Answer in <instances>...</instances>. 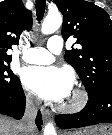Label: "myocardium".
Instances as JSON below:
<instances>
[{
    "label": "myocardium",
    "mask_w": 112,
    "mask_h": 135,
    "mask_svg": "<svg viewBox=\"0 0 112 135\" xmlns=\"http://www.w3.org/2000/svg\"><path fill=\"white\" fill-rule=\"evenodd\" d=\"M73 101L70 103H62L59 109L66 113H78L82 111L89 102L88 93L81 87H77L73 91Z\"/></svg>",
    "instance_id": "myocardium-1"
}]
</instances>
